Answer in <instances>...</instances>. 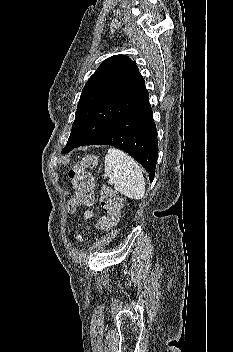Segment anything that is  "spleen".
<instances>
[{
  "label": "spleen",
  "mask_w": 233,
  "mask_h": 352,
  "mask_svg": "<svg viewBox=\"0 0 233 352\" xmlns=\"http://www.w3.org/2000/svg\"><path fill=\"white\" fill-rule=\"evenodd\" d=\"M105 175L109 184L124 196L139 200L145 193V179L138 163L123 151L110 148L105 156Z\"/></svg>",
  "instance_id": "obj_1"
}]
</instances>
